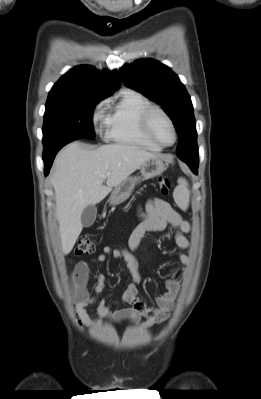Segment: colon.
Returning <instances> with one entry per match:
<instances>
[{
	"label": "colon",
	"instance_id": "1",
	"mask_svg": "<svg viewBox=\"0 0 261 399\" xmlns=\"http://www.w3.org/2000/svg\"><path fill=\"white\" fill-rule=\"evenodd\" d=\"M158 187L162 194H167L171 188L170 178L168 176L159 177ZM95 246V241L88 234H83L77 240L75 253L77 255L90 254L94 251Z\"/></svg>",
	"mask_w": 261,
	"mask_h": 399
}]
</instances>
